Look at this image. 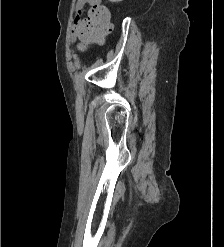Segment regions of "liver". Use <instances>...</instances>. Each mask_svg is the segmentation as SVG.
I'll list each match as a JSON object with an SVG mask.
<instances>
[{
    "label": "liver",
    "mask_w": 224,
    "mask_h": 247,
    "mask_svg": "<svg viewBox=\"0 0 224 247\" xmlns=\"http://www.w3.org/2000/svg\"><path fill=\"white\" fill-rule=\"evenodd\" d=\"M109 2H122V0H109Z\"/></svg>",
    "instance_id": "obj_1"
}]
</instances>
